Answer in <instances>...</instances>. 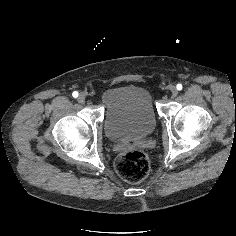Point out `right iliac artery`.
Listing matches in <instances>:
<instances>
[{"mask_svg":"<svg viewBox=\"0 0 236 236\" xmlns=\"http://www.w3.org/2000/svg\"><path fill=\"white\" fill-rule=\"evenodd\" d=\"M78 92L77 91H74L73 93H72V96L74 97V98H77L78 97Z\"/></svg>","mask_w":236,"mask_h":236,"instance_id":"1","label":"right iliac artery"}]
</instances>
